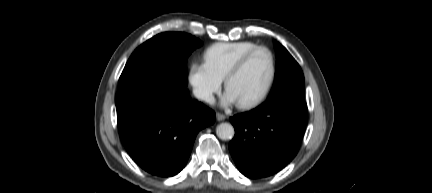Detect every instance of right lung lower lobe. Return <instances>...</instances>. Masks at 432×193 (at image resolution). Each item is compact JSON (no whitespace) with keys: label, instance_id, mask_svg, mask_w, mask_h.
<instances>
[{"label":"right lung lower lobe","instance_id":"right-lung-lower-lobe-1","mask_svg":"<svg viewBox=\"0 0 432 193\" xmlns=\"http://www.w3.org/2000/svg\"><path fill=\"white\" fill-rule=\"evenodd\" d=\"M118 129L134 161L162 177L178 174L186 165L195 137L215 122V113L191 101L188 90L158 80H143L116 94Z\"/></svg>","mask_w":432,"mask_h":193}]
</instances>
